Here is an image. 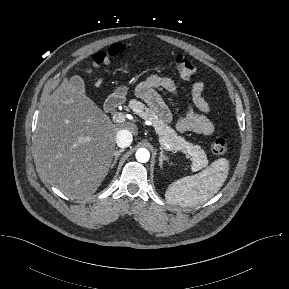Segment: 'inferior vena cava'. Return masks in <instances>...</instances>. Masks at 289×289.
Returning a JSON list of instances; mask_svg holds the SVG:
<instances>
[{
  "label": "inferior vena cava",
  "mask_w": 289,
  "mask_h": 289,
  "mask_svg": "<svg viewBox=\"0 0 289 289\" xmlns=\"http://www.w3.org/2000/svg\"><path fill=\"white\" fill-rule=\"evenodd\" d=\"M133 140V136L129 130L122 129L117 132L116 144L120 148L128 147Z\"/></svg>",
  "instance_id": "1"
}]
</instances>
